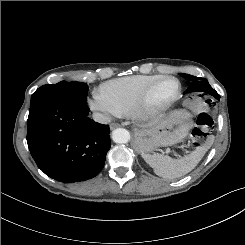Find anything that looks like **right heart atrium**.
Returning <instances> with one entry per match:
<instances>
[{"mask_svg": "<svg viewBox=\"0 0 245 245\" xmlns=\"http://www.w3.org/2000/svg\"><path fill=\"white\" fill-rule=\"evenodd\" d=\"M87 105L101 122H108L113 117L121 115L119 110L100 91H95L87 99Z\"/></svg>", "mask_w": 245, "mask_h": 245, "instance_id": "1", "label": "right heart atrium"}]
</instances>
